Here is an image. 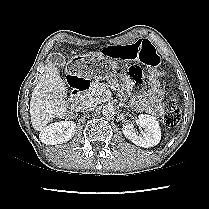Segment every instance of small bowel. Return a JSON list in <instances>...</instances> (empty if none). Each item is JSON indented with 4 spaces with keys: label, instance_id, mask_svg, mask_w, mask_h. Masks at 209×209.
<instances>
[{
    "label": "small bowel",
    "instance_id": "1",
    "mask_svg": "<svg viewBox=\"0 0 209 209\" xmlns=\"http://www.w3.org/2000/svg\"><path fill=\"white\" fill-rule=\"evenodd\" d=\"M126 76L134 86H142L146 82V75L137 65H130L126 69ZM164 90L155 77L149 79V88L143 94L134 95L131 99L133 108L152 115H160L163 110Z\"/></svg>",
    "mask_w": 209,
    "mask_h": 209
}]
</instances>
